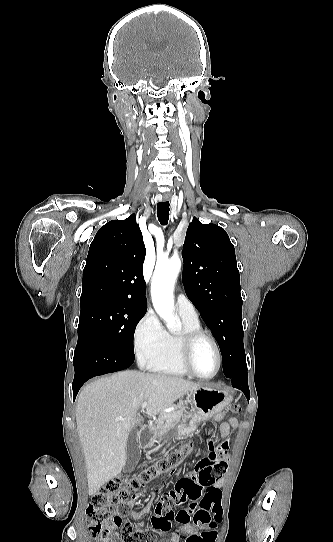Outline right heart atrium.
Here are the masks:
<instances>
[{"instance_id": "obj_1", "label": "right heart atrium", "mask_w": 333, "mask_h": 542, "mask_svg": "<svg viewBox=\"0 0 333 542\" xmlns=\"http://www.w3.org/2000/svg\"><path fill=\"white\" fill-rule=\"evenodd\" d=\"M166 336L160 320L153 312H147L137 323L134 330L135 350L137 354L160 346Z\"/></svg>"}]
</instances>
